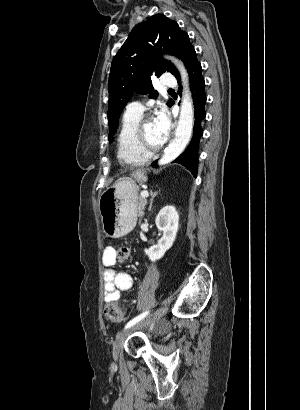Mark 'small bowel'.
<instances>
[{"instance_id": "obj_1", "label": "small bowel", "mask_w": 300, "mask_h": 410, "mask_svg": "<svg viewBox=\"0 0 300 410\" xmlns=\"http://www.w3.org/2000/svg\"><path fill=\"white\" fill-rule=\"evenodd\" d=\"M104 267V300L106 303L116 301L120 292L128 291L133 287V278L126 272H118L114 269L115 249L107 246L102 254Z\"/></svg>"}]
</instances>
